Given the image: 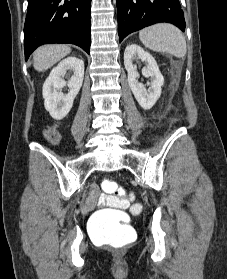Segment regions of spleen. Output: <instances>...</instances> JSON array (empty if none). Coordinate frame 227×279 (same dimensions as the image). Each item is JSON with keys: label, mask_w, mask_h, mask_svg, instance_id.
Returning <instances> with one entry per match:
<instances>
[{"label": "spleen", "mask_w": 227, "mask_h": 279, "mask_svg": "<svg viewBox=\"0 0 227 279\" xmlns=\"http://www.w3.org/2000/svg\"><path fill=\"white\" fill-rule=\"evenodd\" d=\"M139 38L145 47L166 52L181 58L186 55V41L181 31L174 25L160 23L140 31Z\"/></svg>", "instance_id": "spleen-1"}]
</instances>
